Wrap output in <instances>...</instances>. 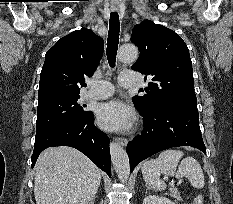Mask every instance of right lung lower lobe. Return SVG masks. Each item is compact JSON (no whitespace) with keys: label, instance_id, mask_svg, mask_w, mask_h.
Listing matches in <instances>:
<instances>
[{"label":"right lung lower lobe","instance_id":"1","mask_svg":"<svg viewBox=\"0 0 233 204\" xmlns=\"http://www.w3.org/2000/svg\"><path fill=\"white\" fill-rule=\"evenodd\" d=\"M109 138L94 125L91 112L86 118L74 124L63 125L35 137L32 168L39 154L48 147L70 146L84 153L101 170L111 176Z\"/></svg>","mask_w":233,"mask_h":204}]
</instances>
